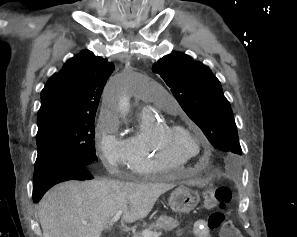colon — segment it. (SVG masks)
<instances>
[{
	"mask_svg": "<svg viewBox=\"0 0 297 237\" xmlns=\"http://www.w3.org/2000/svg\"><path fill=\"white\" fill-rule=\"evenodd\" d=\"M231 201V191L227 186L219 185L204 192V207L212 210L208 218V226L219 230L222 237H243L231 220H228L223 210Z\"/></svg>",
	"mask_w": 297,
	"mask_h": 237,
	"instance_id": "colon-1",
	"label": "colon"
}]
</instances>
